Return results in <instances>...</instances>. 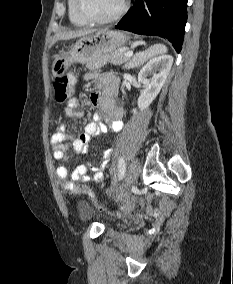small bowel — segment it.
Masks as SVG:
<instances>
[{
  "mask_svg": "<svg viewBox=\"0 0 233 284\" xmlns=\"http://www.w3.org/2000/svg\"><path fill=\"white\" fill-rule=\"evenodd\" d=\"M85 78L89 81L95 82L101 93H93L90 96V102L94 106H98L104 115V119L100 120L98 115H95L93 121L89 122L84 129V133L78 138L70 139L66 134V125L60 123L57 130L50 138V146L53 150V157L57 161H65L67 151L70 144L66 143L71 140V146L77 152L86 149L93 137L108 129L114 132H120L123 129V123L120 119L121 110L115 105L112 97L117 91L118 80L109 74H86ZM64 114L70 118H80L83 116V111L79 109V101L76 98L69 100L64 109ZM111 150L107 149L102 156V161L99 166L90 169L87 165L81 164L73 169L71 172V179L68 180V168L64 164L57 167L56 175L59 180L63 182L65 190L70 191L76 187L77 182L83 183H99L103 178V170L106 167L110 156Z\"/></svg>",
  "mask_w": 233,
  "mask_h": 284,
  "instance_id": "c3829d8e",
  "label": "small bowel"
}]
</instances>
